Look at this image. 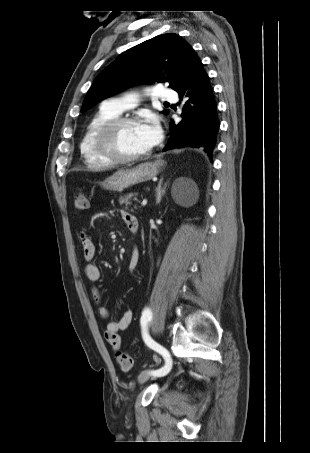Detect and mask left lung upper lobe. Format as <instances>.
I'll return each mask as SVG.
<instances>
[{
  "mask_svg": "<svg viewBox=\"0 0 310 453\" xmlns=\"http://www.w3.org/2000/svg\"><path fill=\"white\" fill-rule=\"evenodd\" d=\"M193 52L192 47L174 33L158 35L126 50L95 78L81 111L141 82H168L174 89Z\"/></svg>",
  "mask_w": 310,
  "mask_h": 453,
  "instance_id": "obj_1",
  "label": "left lung upper lobe"
}]
</instances>
